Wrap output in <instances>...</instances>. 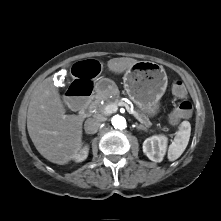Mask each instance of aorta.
Returning a JSON list of instances; mask_svg holds the SVG:
<instances>
[{
  "label": "aorta",
  "instance_id": "aorta-1",
  "mask_svg": "<svg viewBox=\"0 0 221 221\" xmlns=\"http://www.w3.org/2000/svg\"><path fill=\"white\" fill-rule=\"evenodd\" d=\"M112 125L116 129H124L126 127V120L120 115H115L112 117Z\"/></svg>",
  "mask_w": 221,
  "mask_h": 221
}]
</instances>
